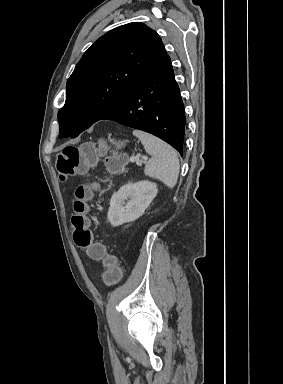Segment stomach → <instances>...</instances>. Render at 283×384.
Segmentation results:
<instances>
[{
  "label": "stomach",
  "instance_id": "0dacf381",
  "mask_svg": "<svg viewBox=\"0 0 283 384\" xmlns=\"http://www.w3.org/2000/svg\"><path fill=\"white\" fill-rule=\"evenodd\" d=\"M113 144H116V146H118V148H122V146H123V142H113Z\"/></svg>",
  "mask_w": 283,
  "mask_h": 384
}]
</instances>
